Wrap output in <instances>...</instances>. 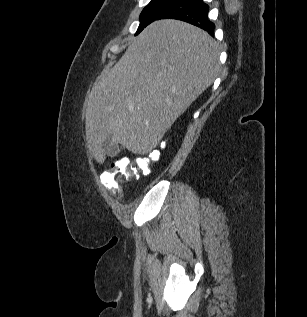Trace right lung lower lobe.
Segmentation results:
<instances>
[{"instance_id": "right-lung-lower-lobe-1", "label": "right lung lower lobe", "mask_w": 307, "mask_h": 317, "mask_svg": "<svg viewBox=\"0 0 307 317\" xmlns=\"http://www.w3.org/2000/svg\"><path fill=\"white\" fill-rule=\"evenodd\" d=\"M208 11V5L202 0H173L156 20L167 18L182 20L213 35L215 25L208 19Z\"/></svg>"}]
</instances>
